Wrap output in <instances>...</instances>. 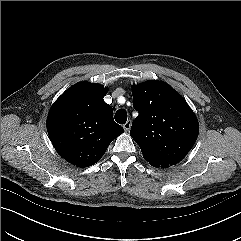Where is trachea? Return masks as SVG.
I'll list each match as a JSON object with an SVG mask.
<instances>
[{"label": "trachea", "instance_id": "obj_1", "mask_svg": "<svg viewBox=\"0 0 241 241\" xmlns=\"http://www.w3.org/2000/svg\"><path fill=\"white\" fill-rule=\"evenodd\" d=\"M115 121L119 124H125L127 121V112L125 109H119L115 113Z\"/></svg>", "mask_w": 241, "mask_h": 241}]
</instances>
